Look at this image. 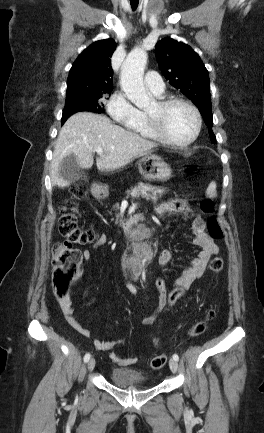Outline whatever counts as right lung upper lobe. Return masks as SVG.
I'll use <instances>...</instances> for the list:
<instances>
[{
  "label": "right lung upper lobe",
  "mask_w": 264,
  "mask_h": 433,
  "mask_svg": "<svg viewBox=\"0 0 264 433\" xmlns=\"http://www.w3.org/2000/svg\"><path fill=\"white\" fill-rule=\"evenodd\" d=\"M115 49L113 39L100 40L86 48L69 71L66 96L112 90L113 70L110 58Z\"/></svg>",
  "instance_id": "cb5924a9"
}]
</instances>
